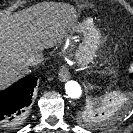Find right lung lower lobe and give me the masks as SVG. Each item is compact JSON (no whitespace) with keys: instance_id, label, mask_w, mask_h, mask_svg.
Wrapping results in <instances>:
<instances>
[{"instance_id":"98d812e1","label":"right lung lower lobe","mask_w":133,"mask_h":133,"mask_svg":"<svg viewBox=\"0 0 133 133\" xmlns=\"http://www.w3.org/2000/svg\"><path fill=\"white\" fill-rule=\"evenodd\" d=\"M36 77H24L0 91V127L12 128L22 123L32 102Z\"/></svg>"}]
</instances>
